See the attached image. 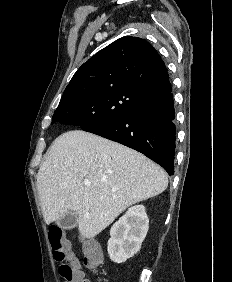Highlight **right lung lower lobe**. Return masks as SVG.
I'll return each instance as SVG.
<instances>
[{"label": "right lung lower lobe", "mask_w": 232, "mask_h": 282, "mask_svg": "<svg viewBox=\"0 0 232 282\" xmlns=\"http://www.w3.org/2000/svg\"><path fill=\"white\" fill-rule=\"evenodd\" d=\"M175 111L172 89L145 101L132 113L111 122L82 128L84 131L135 149L174 173Z\"/></svg>", "instance_id": "obj_1"}]
</instances>
